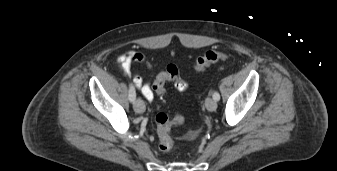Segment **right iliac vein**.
<instances>
[{
  "label": "right iliac vein",
  "instance_id": "1",
  "mask_svg": "<svg viewBox=\"0 0 337 171\" xmlns=\"http://www.w3.org/2000/svg\"><path fill=\"white\" fill-rule=\"evenodd\" d=\"M133 108H134L135 112L140 113V114L144 113L145 109H146L143 100L140 99V98H138L137 100L134 101Z\"/></svg>",
  "mask_w": 337,
  "mask_h": 171
}]
</instances>
